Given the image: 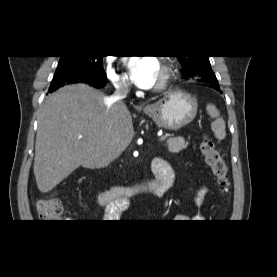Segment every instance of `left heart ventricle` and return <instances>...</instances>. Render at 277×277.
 Masks as SVG:
<instances>
[{
  "label": "left heart ventricle",
  "mask_w": 277,
  "mask_h": 277,
  "mask_svg": "<svg viewBox=\"0 0 277 277\" xmlns=\"http://www.w3.org/2000/svg\"><path fill=\"white\" fill-rule=\"evenodd\" d=\"M161 75H162V71H161V67H160L156 82H158L160 80Z\"/></svg>",
  "instance_id": "1"
}]
</instances>
